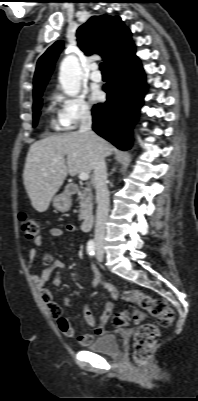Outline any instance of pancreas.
<instances>
[{
  "instance_id": "pancreas-1",
  "label": "pancreas",
  "mask_w": 198,
  "mask_h": 401,
  "mask_svg": "<svg viewBox=\"0 0 198 401\" xmlns=\"http://www.w3.org/2000/svg\"><path fill=\"white\" fill-rule=\"evenodd\" d=\"M78 201L80 204L79 220H84L88 215L92 214L93 210V194L89 187L84 188V191L78 195Z\"/></svg>"
}]
</instances>
